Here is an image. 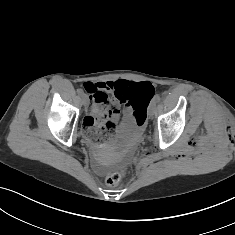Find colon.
Wrapping results in <instances>:
<instances>
[{
  "label": "colon",
  "mask_w": 235,
  "mask_h": 235,
  "mask_svg": "<svg viewBox=\"0 0 235 235\" xmlns=\"http://www.w3.org/2000/svg\"><path fill=\"white\" fill-rule=\"evenodd\" d=\"M154 93V89L150 83L142 82V83H131L128 87L120 92V99L127 102L134 109V118L136 124L139 128H144L147 122V112L145 106L143 104L144 99H148L152 97ZM95 99L98 103H105L107 99L104 95L95 94ZM107 120V112L102 111L92 118L90 121L92 124H96L97 127H100ZM91 134V133H90ZM93 135V134H91ZM94 136V135H93ZM109 134H103L98 138H107ZM126 174V170L120 168L118 170L110 172L106 176V183L108 186L114 187L117 186Z\"/></svg>",
  "instance_id": "colon-1"
}]
</instances>
